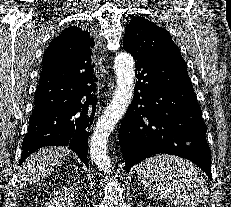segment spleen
Returning a JSON list of instances; mask_svg holds the SVG:
<instances>
[{
	"instance_id": "1",
	"label": "spleen",
	"mask_w": 231,
	"mask_h": 207,
	"mask_svg": "<svg viewBox=\"0 0 231 207\" xmlns=\"http://www.w3.org/2000/svg\"><path fill=\"white\" fill-rule=\"evenodd\" d=\"M137 176L149 195L169 200L176 207H196L206 200L205 180L189 161L171 155L148 158L137 168Z\"/></svg>"
}]
</instances>
